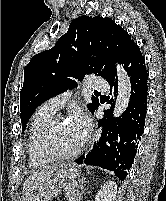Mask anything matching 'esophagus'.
I'll use <instances>...</instances> for the list:
<instances>
[{"label": "esophagus", "mask_w": 166, "mask_h": 201, "mask_svg": "<svg viewBox=\"0 0 166 201\" xmlns=\"http://www.w3.org/2000/svg\"><path fill=\"white\" fill-rule=\"evenodd\" d=\"M99 137H100V132H99L98 135H97V140H99Z\"/></svg>", "instance_id": "esophagus-1"}]
</instances>
